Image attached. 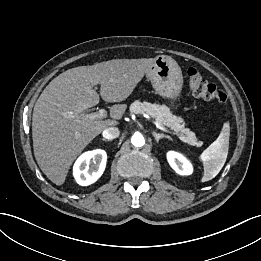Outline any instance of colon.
<instances>
[{
  "label": "colon",
  "instance_id": "1",
  "mask_svg": "<svg viewBox=\"0 0 261 261\" xmlns=\"http://www.w3.org/2000/svg\"><path fill=\"white\" fill-rule=\"evenodd\" d=\"M187 74L190 89L195 97L226 104L227 97L225 93L219 90L214 84L208 82L197 68H188Z\"/></svg>",
  "mask_w": 261,
  "mask_h": 261
}]
</instances>
